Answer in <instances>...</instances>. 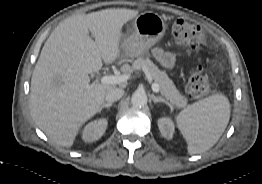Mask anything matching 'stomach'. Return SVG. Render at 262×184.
<instances>
[{"mask_svg":"<svg viewBox=\"0 0 262 184\" xmlns=\"http://www.w3.org/2000/svg\"><path fill=\"white\" fill-rule=\"evenodd\" d=\"M166 30L167 24L161 15L154 12L139 14L132 21L130 35L121 44L124 55H147L149 49L164 37Z\"/></svg>","mask_w":262,"mask_h":184,"instance_id":"0dacf381","label":"stomach"}]
</instances>
